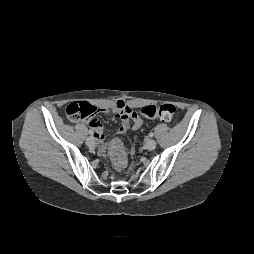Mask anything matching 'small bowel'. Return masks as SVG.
Masks as SVG:
<instances>
[{
	"label": "small bowel",
	"instance_id": "small-bowel-1",
	"mask_svg": "<svg viewBox=\"0 0 254 254\" xmlns=\"http://www.w3.org/2000/svg\"><path fill=\"white\" fill-rule=\"evenodd\" d=\"M101 112L120 118L121 124L118 134H125L130 128L136 131L141 128L143 121L140 116L124 101H117L112 108H102ZM91 132L99 142V150L105 152L107 148L106 133L101 121L94 118L89 122Z\"/></svg>",
	"mask_w": 254,
	"mask_h": 254
}]
</instances>
